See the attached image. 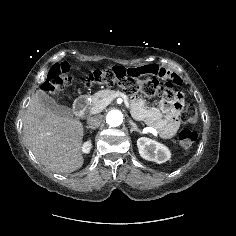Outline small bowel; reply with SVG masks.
<instances>
[{
  "instance_id": "obj_1",
  "label": "small bowel",
  "mask_w": 236,
  "mask_h": 236,
  "mask_svg": "<svg viewBox=\"0 0 236 236\" xmlns=\"http://www.w3.org/2000/svg\"><path fill=\"white\" fill-rule=\"evenodd\" d=\"M117 72L120 76H127L130 79H151L157 75L164 79L173 80L176 84L180 82L179 78L174 77L166 69L155 66L139 65L129 67L126 64H122L118 67ZM181 108V100L174 103L162 102L159 109L148 108L144 103L137 102L134 107V113L138 118L154 127L162 137L171 138L178 130V115Z\"/></svg>"
}]
</instances>
